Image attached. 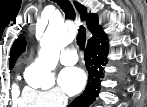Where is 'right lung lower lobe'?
Listing matches in <instances>:
<instances>
[{"instance_id":"98d812e1","label":"right lung lower lobe","mask_w":147,"mask_h":107,"mask_svg":"<svg viewBox=\"0 0 147 107\" xmlns=\"http://www.w3.org/2000/svg\"><path fill=\"white\" fill-rule=\"evenodd\" d=\"M108 49L106 35L96 41L88 42L85 62L89 72V81L85 91L69 107H88L95 101L100 90L101 78H103V66L107 63Z\"/></svg>"}]
</instances>
